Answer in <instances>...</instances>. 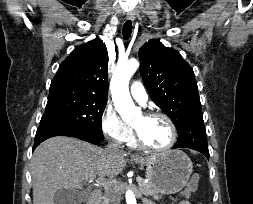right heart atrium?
I'll return each instance as SVG.
<instances>
[{"mask_svg": "<svg viewBox=\"0 0 253 204\" xmlns=\"http://www.w3.org/2000/svg\"><path fill=\"white\" fill-rule=\"evenodd\" d=\"M101 129L108 139L119 144L128 142L133 134L131 126L120 118L112 106H107L102 113Z\"/></svg>", "mask_w": 253, "mask_h": 204, "instance_id": "right-heart-atrium-1", "label": "right heart atrium"}]
</instances>
